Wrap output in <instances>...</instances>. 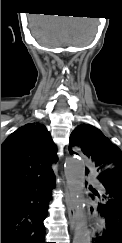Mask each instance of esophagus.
<instances>
[{"label": "esophagus", "mask_w": 122, "mask_h": 243, "mask_svg": "<svg viewBox=\"0 0 122 243\" xmlns=\"http://www.w3.org/2000/svg\"><path fill=\"white\" fill-rule=\"evenodd\" d=\"M65 203L67 206L70 228L71 230H74L77 225V214L72 195L68 189L65 190Z\"/></svg>", "instance_id": "1"}]
</instances>
